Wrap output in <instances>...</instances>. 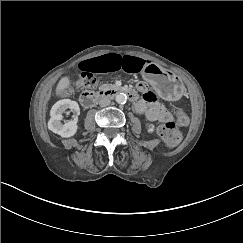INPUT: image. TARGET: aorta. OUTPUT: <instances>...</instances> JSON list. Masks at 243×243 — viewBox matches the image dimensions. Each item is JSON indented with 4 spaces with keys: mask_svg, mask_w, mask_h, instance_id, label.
<instances>
[{
    "mask_svg": "<svg viewBox=\"0 0 243 243\" xmlns=\"http://www.w3.org/2000/svg\"><path fill=\"white\" fill-rule=\"evenodd\" d=\"M115 101H116L118 104H124V103H126V101H127V96H126V94H124V93H118V94L115 96Z\"/></svg>",
    "mask_w": 243,
    "mask_h": 243,
    "instance_id": "762f6f07",
    "label": "aorta"
}]
</instances>
